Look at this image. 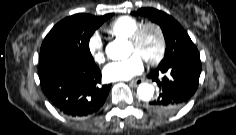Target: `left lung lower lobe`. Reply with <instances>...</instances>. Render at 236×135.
<instances>
[{"instance_id": "1", "label": "left lung lower lobe", "mask_w": 236, "mask_h": 135, "mask_svg": "<svg viewBox=\"0 0 236 135\" xmlns=\"http://www.w3.org/2000/svg\"><path fill=\"white\" fill-rule=\"evenodd\" d=\"M201 68L198 51L158 66L148 77L157 82L160 94L149 102V108L160 114H170L183 107L198 88ZM161 74L164 77L159 79Z\"/></svg>"}]
</instances>
